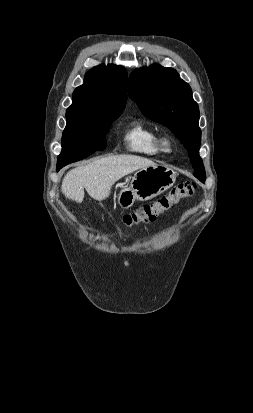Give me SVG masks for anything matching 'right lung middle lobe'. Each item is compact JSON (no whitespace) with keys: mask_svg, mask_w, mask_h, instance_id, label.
I'll list each match as a JSON object with an SVG mask.
<instances>
[{"mask_svg":"<svg viewBox=\"0 0 253 413\" xmlns=\"http://www.w3.org/2000/svg\"><path fill=\"white\" fill-rule=\"evenodd\" d=\"M119 115H100L93 119L67 121L57 166L64 167L86 158L95 151L104 150L110 122L116 120Z\"/></svg>","mask_w":253,"mask_h":413,"instance_id":"dd1d6c3e","label":"right lung middle lobe"}]
</instances>
